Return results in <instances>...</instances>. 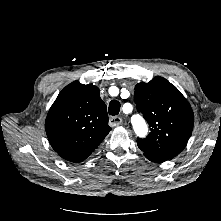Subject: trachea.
<instances>
[{
    "instance_id": "obj_1",
    "label": "trachea",
    "mask_w": 221,
    "mask_h": 221,
    "mask_svg": "<svg viewBox=\"0 0 221 221\" xmlns=\"http://www.w3.org/2000/svg\"><path fill=\"white\" fill-rule=\"evenodd\" d=\"M120 107H121V105L117 100H112L109 103V108H108L109 114L112 116L118 115L120 112Z\"/></svg>"
}]
</instances>
